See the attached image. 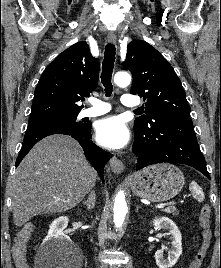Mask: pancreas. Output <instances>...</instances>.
<instances>
[{"mask_svg": "<svg viewBox=\"0 0 221 268\" xmlns=\"http://www.w3.org/2000/svg\"><path fill=\"white\" fill-rule=\"evenodd\" d=\"M164 212L172 214L173 216L178 215V211L174 206L167 207L166 209H164Z\"/></svg>", "mask_w": 221, "mask_h": 268, "instance_id": "obj_1", "label": "pancreas"}]
</instances>
